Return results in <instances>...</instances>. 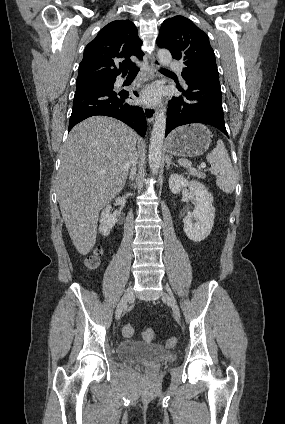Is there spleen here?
<instances>
[{"label":"spleen","mask_w":285,"mask_h":424,"mask_svg":"<svg viewBox=\"0 0 285 424\" xmlns=\"http://www.w3.org/2000/svg\"><path fill=\"white\" fill-rule=\"evenodd\" d=\"M207 161L211 165V171L217 175V186L227 194L232 193L236 186V174L223 141H217L216 147L207 155ZM178 162L183 166L191 164L185 159Z\"/></svg>","instance_id":"obj_1"}]
</instances>
